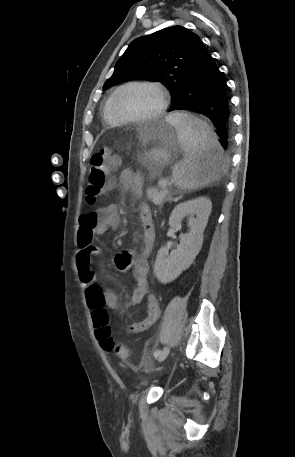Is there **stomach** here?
Here are the masks:
<instances>
[{"instance_id": "stomach-1", "label": "stomach", "mask_w": 295, "mask_h": 457, "mask_svg": "<svg viewBox=\"0 0 295 457\" xmlns=\"http://www.w3.org/2000/svg\"><path fill=\"white\" fill-rule=\"evenodd\" d=\"M140 162L157 175L173 159L180 146L176 127L166 119L154 122L141 135Z\"/></svg>"}]
</instances>
